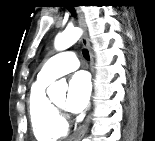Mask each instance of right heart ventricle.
I'll use <instances>...</instances> for the list:
<instances>
[{"mask_svg":"<svg viewBox=\"0 0 155 141\" xmlns=\"http://www.w3.org/2000/svg\"><path fill=\"white\" fill-rule=\"evenodd\" d=\"M51 81L37 78L30 89L28 111L33 133L39 141H55L67 133L65 122L60 119L46 95Z\"/></svg>","mask_w":155,"mask_h":141,"instance_id":"obj_1","label":"right heart ventricle"}]
</instances>
